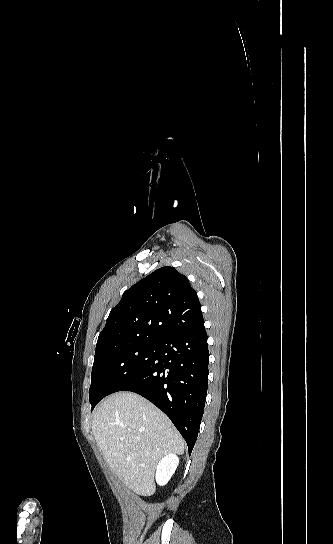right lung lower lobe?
<instances>
[{
	"label": "right lung lower lobe",
	"instance_id": "98d812e1",
	"mask_svg": "<svg viewBox=\"0 0 333 544\" xmlns=\"http://www.w3.org/2000/svg\"><path fill=\"white\" fill-rule=\"evenodd\" d=\"M203 317L159 339L151 360L120 391L135 392L156 405L186 440L196 442L208 385L209 350Z\"/></svg>",
	"mask_w": 333,
	"mask_h": 544
}]
</instances>
